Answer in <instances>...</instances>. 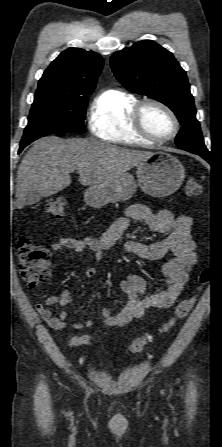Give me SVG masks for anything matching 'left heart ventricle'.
Segmentation results:
<instances>
[{"mask_svg": "<svg viewBox=\"0 0 222 447\" xmlns=\"http://www.w3.org/2000/svg\"><path fill=\"white\" fill-rule=\"evenodd\" d=\"M142 120L147 131L156 137L165 138L173 131L172 120L159 107L146 106L142 114Z\"/></svg>", "mask_w": 222, "mask_h": 447, "instance_id": "b2bd125f", "label": "left heart ventricle"}]
</instances>
